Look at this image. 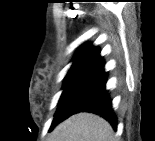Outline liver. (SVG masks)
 Segmentation results:
<instances>
[{"instance_id":"obj_1","label":"liver","mask_w":155,"mask_h":141,"mask_svg":"<svg viewBox=\"0 0 155 141\" xmlns=\"http://www.w3.org/2000/svg\"><path fill=\"white\" fill-rule=\"evenodd\" d=\"M111 125L103 118L79 113L60 123L52 132L50 141H115Z\"/></svg>"}]
</instances>
